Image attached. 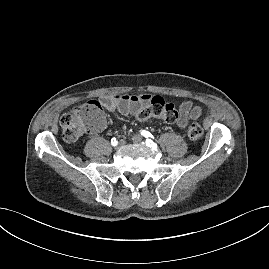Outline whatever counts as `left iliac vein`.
Segmentation results:
<instances>
[{"label": "left iliac vein", "instance_id": "1", "mask_svg": "<svg viewBox=\"0 0 269 269\" xmlns=\"http://www.w3.org/2000/svg\"><path fill=\"white\" fill-rule=\"evenodd\" d=\"M132 141H133L134 143L138 144V143L142 142V136L139 135V134H135V135H133V137H132Z\"/></svg>", "mask_w": 269, "mask_h": 269}]
</instances>
